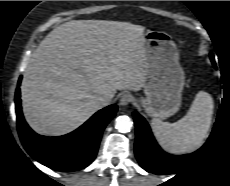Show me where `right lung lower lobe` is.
<instances>
[{"instance_id": "right-lung-lower-lobe-1", "label": "right lung lower lobe", "mask_w": 230, "mask_h": 186, "mask_svg": "<svg viewBox=\"0 0 230 186\" xmlns=\"http://www.w3.org/2000/svg\"><path fill=\"white\" fill-rule=\"evenodd\" d=\"M15 94L17 127L26 151L41 164L59 171H77L87 167L96 157L104 128L117 112L110 105L94 114L75 131L59 137L36 134L25 122L21 110L20 82Z\"/></svg>"}]
</instances>
